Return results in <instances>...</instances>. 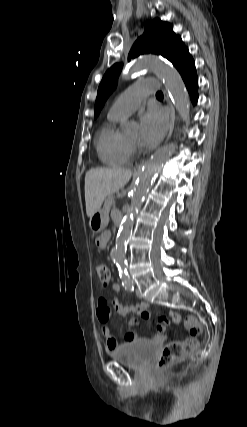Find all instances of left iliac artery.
<instances>
[{
	"label": "left iliac artery",
	"instance_id": "44dca946",
	"mask_svg": "<svg viewBox=\"0 0 247 427\" xmlns=\"http://www.w3.org/2000/svg\"><path fill=\"white\" fill-rule=\"evenodd\" d=\"M120 278H121V281H122V285H123V287L126 290H129V291H133L134 290L133 282L130 279V276H129V274L127 272L122 273L120 275Z\"/></svg>",
	"mask_w": 247,
	"mask_h": 427
}]
</instances>
